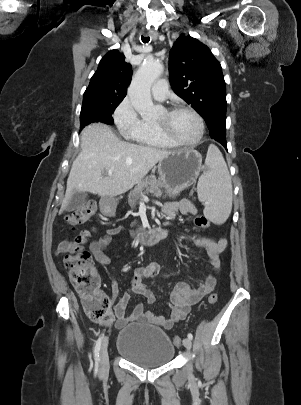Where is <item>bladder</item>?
<instances>
[{"mask_svg": "<svg viewBox=\"0 0 301 405\" xmlns=\"http://www.w3.org/2000/svg\"><path fill=\"white\" fill-rule=\"evenodd\" d=\"M116 351L136 365L153 368L169 363L174 357L175 347L160 328L149 324H134L120 330Z\"/></svg>", "mask_w": 301, "mask_h": 405, "instance_id": "obj_1", "label": "bladder"}]
</instances>
